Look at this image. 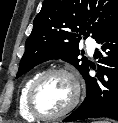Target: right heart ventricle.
I'll return each instance as SVG.
<instances>
[{"instance_id":"1","label":"right heart ventricle","mask_w":118,"mask_h":123,"mask_svg":"<svg viewBox=\"0 0 118 123\" xmlns=\"http://www.w3.org/2000/svg\"><path fill=\"white\" fill-rule=\"evenodd\" d=\"M39 73H36L32 76H30L23 84L21 87L20 93H19V98H18V110L19 114L21 115L22 118L28 120V121H34L37 118L34 117L30 111L28 110L27 107V94L29 91V88L33 81L39 76Z\"/></svg>"}]
</instances>
